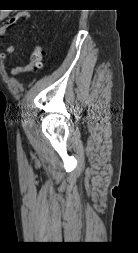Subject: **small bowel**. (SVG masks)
Wrapping results in <instances>:
<instances>
[{
	"mask_svg": "<svg viewBox=\"0 0 138 253\" xmlns=\"http://www.w3.org/2000/svg\"><path fill=\"white\" fill-rule=\"evenodd\" d=\"M29 14L27 12H19L16 15H14L12 18L9 19V21L7 23H5L4 25H2L0 27V36H6L10 30V28L19 20L23 19V18H28ZM15 50V47L12 44H8L5 48V52L0 53V59L2 61H6L7 59V54H11L13 53ZM23 71V67L22 66H16L12 69H10V73L13 76L18 75L20 72Z\"/></svg>",
	"mask_w": 138,
	"mask_h": 253,
	"instance_id": "obj_1",
	"label": "small bowel"
}]
</instances>
